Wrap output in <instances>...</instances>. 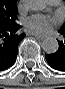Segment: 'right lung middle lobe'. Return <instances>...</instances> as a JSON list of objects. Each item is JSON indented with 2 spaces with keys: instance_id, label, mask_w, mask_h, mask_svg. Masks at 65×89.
Returning a JSON list of instances; mask_svg holds the SVG:
<instances>
[{
  "instance_id": "right-lung-middle-lobe-1",
  "label": "right lung middle lobe",
  "mask_w": 65,
  "mask_h": 89,
  "mask_svg": "<svg viewBox=\"0 0 65 89\" xmlns=\"http://www.w3.org/2000/svg\"><path fill=\"white\" fill-rule=\"evenodd\" d=\"M17 0H0V28H7L16 24Z\"/></svg>"
}]
</instances>
